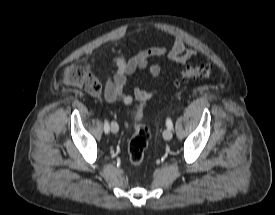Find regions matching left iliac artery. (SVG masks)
Segmentation results:
<instances>
[{
	"label": "left iliac artery",
	"instance_id": "obj_1",
	"mask_svg": "<svg viewBox=\"0 0 275 215\" xmlns=\"http://www.w3.org/2000/svg\"><path fill=\"white\" fill-rule=\"evenodd\" d=\"M166 125H167L168 128H171V129L173 128V123H172L170 118H167Z\"/></svg>",
	"mask_w": 275,
	"mask_h": 215
}]
</instances>
